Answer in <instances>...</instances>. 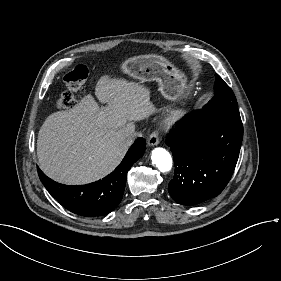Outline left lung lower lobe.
<instances>
[{
	"mask_svg": "<svg viewBox=\"0 0 281 281\" xmlns=\"http://www.w3.org/2000/svg\"><path fill=\"white\" fill-rule=\"evenodd\" d=\"M242 139L237 108L192 111L166 141L175 164L168 185L170 196L179 204L192 206L219 195L231 179Z\"/></svg>",
	"mask_w": 281,
	"mask_h": 281,
	"instance_id": "1",
	"label": "left lung lower lobe"
}]
</instances>
